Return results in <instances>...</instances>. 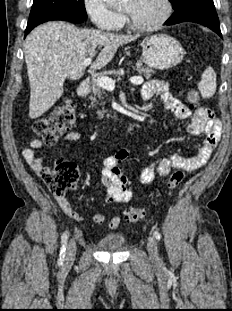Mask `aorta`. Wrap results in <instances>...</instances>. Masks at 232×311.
Masks as SVG:
<instances>
[{"label": "aorta", "mask_w": 232, "mask_h": 311, "mask_svg": "<svg viewBox=\"0 0 232 311\" xmlns=\"http://www.w3.org/2000/svg\"><path fill=\"white\" fill-rule=\"evenodd\" d=\"M110 6H116L120 4L121 0H104Z\"/></svg>", "instance_id": "aorta-1"}]
</instances>
